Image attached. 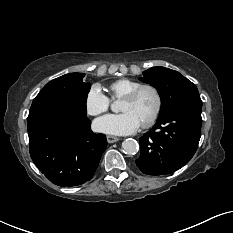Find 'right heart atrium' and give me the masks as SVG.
<instances>
[{
    "instance_id": "1",
    "label": "right heart atrium",
    "mask_w": 233,
    "mask_h": 233,
    "mask_svg": "<svg viewBox=\"0 0 233 233\" xmlns=\"http://www.w3.org/2000/svg\"><path fill=\"white\" fill-rule=\"evenodd\" d=\"M110 106L109 98L103 93L98 84H93L85 97V108L92 116L100 115L108 110Z\"/></svg>"
}]
</instances>
